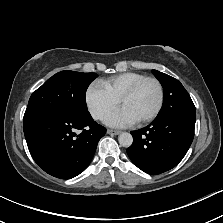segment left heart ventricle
I'll return each mask as SVG.
<instances>
[{
    "instance_id": "left-heart-ventricle-1",
    "label": "left heart ventricle",
    "mask_w": 223,
    "mask_h": 223,
    "mask_svg": "<svg viewBox=\"0 0 223 223\" xmlns=\"http://www.w3.org/2000/svg\"><path fill=\"white\" fill-rule=\"evenodd\" d=\"M158 92L153 82H146L131 97L125 99L121 106L137 121L148 116L157 104Z\"/></svg>"
}]
</instances>
